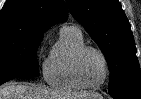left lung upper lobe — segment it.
<instances>
[{
    "label": "left lung upper lobe",
    "instance_id": "1",
    "mask_svg": "<svg viewBox=\"0 0 141 99\" xmlns=\"http://www.w3.org/2000/svg\"><path fill=\"white\" fill-rule=\"evenodd\" d=\"M102 50L110 70L108 90L141 91V74L130 24L118 0H66Z\"/></svg>",
    "mask_w": 141,
    "mask_h": 99
}]
</instances>
